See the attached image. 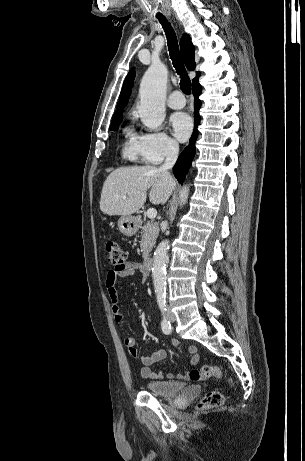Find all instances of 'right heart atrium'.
Instances as JSON below:
<instances>
[{
    "label": "right heart atrium",
    "mask_w": 305,
    "mask_h": 461,
    "mask_svg": "<svg viewBox=\"0 0 305 461\" xmlns=\"http://www.w3.org/2000/svg\"><path fill=\"white\" fill-rule=\"evenodd\" d=\"M137 141L140 157L150 164H158L178 151L177 142L160 130L144 132Z\"/></svg>",
    "instance_id": "right-heart-atrium-1"
}]
</instances>
